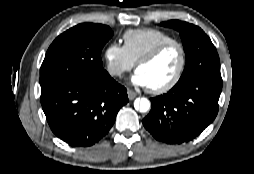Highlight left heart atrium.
I'll list each match as a JSON object with an SVG mask.
<instances>
[{
  "label": "left heart atrium",
  "instance_id": "left-heart-atrium-1",
  "mask_svg": "<svg viewBox=\"0 0 254 174\" xmlns=\"http://www.w3.org/2000/svg\"><path fill=\"white\" fill-rule=\"evenodd\" d=\"M131 82L135 86L146 87V88L149 87L145 76L138 70L132 75Z\"/></svg>",
  "mask_w": 254,
  "mask_h": 174
}]
</instances>
